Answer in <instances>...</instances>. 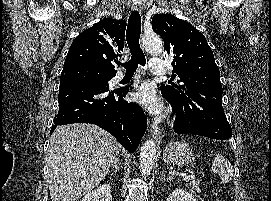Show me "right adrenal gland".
I'll list each match as a JSON object with an SVG mask.
<instances>
[{"instance_id": "1", "label": "right adrenal gland", "mask_w": 271, "mask_h": 201, "mask_svg": "<svg viewBox=\"0 0 271 201\" xmlns=\"http://www.w3.org/2000/svg\"><path fill=\"white\" fill-rule=\"evenodd\" d=\"M120 170V159L118 158L115 163L113 164V167L111 170L108 171V173H111L112 171L117 174V172Z\"/></svg>"}]
</instances>
